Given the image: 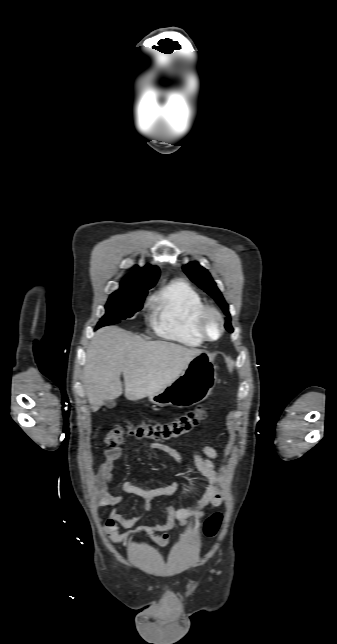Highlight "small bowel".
<instances>
[{
	"mask_svg": "<svg viewBox=\"0 0 337 644\" xmlns=\"http://www.w3.org/2000/svg\"><path fill=\"white\" fill-rule=\"evenodd\" d=\"M146 452L149 459H151L155 451H162L171 456L177 464H181V457L179 453L172 447L155 443L147 442ZM123 454L121 447L111 448L105 451V461L101 464L96 474V481L100 486L99 503L102 506H116L121 502V496L112 494L108 488L113 482L112 471L114 462L119 459ZM217 458V453L214 448L204 444L200 451L194 453V463L196 469L204 475L209 485L206 488L202 497L193 505L174 509L171 506H165L164 510L167 513V518L164 523H157L148 526H139L131 530L137 523H139L145 516L152 510L151 502L159 497H168L176 493L179 487L177 481L161 487L152 489H145L135 485L131 481L122 483V490L125 493L138 496L143 501V511L133 517H124L117 509H113L109 517L104 523V532L106 536L114 543H121L127 541L137 535L145 534L152 539L159 546H166L169 542V534L177 524H185L191 518H202L205 514L206 508H215L222 502V493L220 491V476L215 470L214 460ZM120 528L129 531L121 533Z\"/></svg>",
	"mask_w": 337,
	"mask_h": 644,
	"instance_id": "c3829d8e",
	"label": "small bowel"
}]
</instances>
